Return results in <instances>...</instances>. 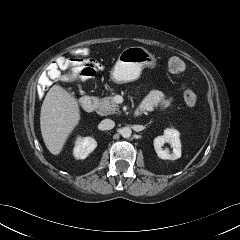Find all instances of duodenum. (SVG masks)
I'll list each match as a JSON object with an SVG mask.
<instances>
[{"mask_svg":"<svg viewBox=\"0 0 240 240\" xmlns=\"http://www.w3.org/2000/svg\"><path fill=\"white\" fill-rule=\"evenodd\" d=\"M80 105L85 112H92L95 108L96 101L92 97L84 96L80 100ZM134 115L136 117H140L142 115V112L140 111V109H137Z\"/></svg>","mask_w":240,"mask_h":240,"instance_id":"duodenum-1","label":"duodenum"}]
</instances>
